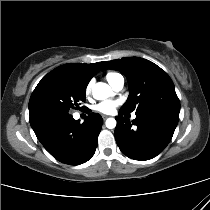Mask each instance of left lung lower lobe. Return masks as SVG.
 Listing matches in <instances>:
<instances>
[{"instance_id": "0a47b994", "label": "left lung lower lobe", "mask_w": 210, "mask_h": 210, "mask_svg": "<svg viewBox=\"0 0 210 210\" xmlns=\"http://www.w3.org/2000/svg\"><path fill=\"white\" fill-rule=\"evenodd\" d=\"M119 111L115 139L120 150L129 158L149 160L157 156L170 142L178 124L179 113L150 110L136 113L132 120L123 118Z\"/></svg>"}]
</instances>
